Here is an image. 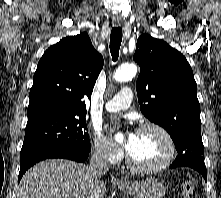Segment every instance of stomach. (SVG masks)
I'll return each mask as SVG.
<instances>
[{"mask_svg": "<svg viewBox=\"0 0 221 198\" xmlns=\"http://www.w3.org/2000/svg\"><path fill=\"white\" fill-rule=\"evenodd\" d=\"M118 188L134 196V198H163L166 189L163 184L154 178L141 181L118 183Z\"/></svg>", "mask_w": 221, "mask_h": 198, "instance_id": "1", "label": "stomach"}]
</instances>
